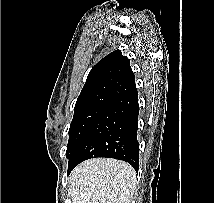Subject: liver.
Segmentation results:
<instances>
[{"mask_svg": "<svg viewBox=\"0 0 214 203\" xmlns=\"http://www.w3.org/2000/svg\"><path fill=\"white\" fill-rule=\"evenodd\" d=\"M69 185L72 203H130L136 173L126 162L93 158L72 171Z\"/></svg>", "mask_w": 214, "mask_h": 203, "instance_id": "obj_1", "label": "liver"}]
</instances>
